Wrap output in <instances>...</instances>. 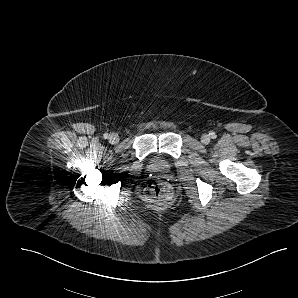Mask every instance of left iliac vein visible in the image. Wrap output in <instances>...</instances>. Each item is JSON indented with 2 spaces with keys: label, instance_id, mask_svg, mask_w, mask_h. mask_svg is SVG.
I'll use <instances>...</instances> for the list:
<instances>
[{
  "label": "left iliac vein",
  "instance_id": "1",
  "mask_svg": "<svg viewBox=\"0 0 298 298\" xmlns=\"http://www.w3.org/2000/svg\"><path fill=\"white\" fill-rule=\"evenodd\" d=\"M201 142L203 144H208L210 142V137L208 135H206V134L202 135L201 136Z\"/></svg>",
  "mask_w": 298,
  "mask_h": 298
}]
</instances>
